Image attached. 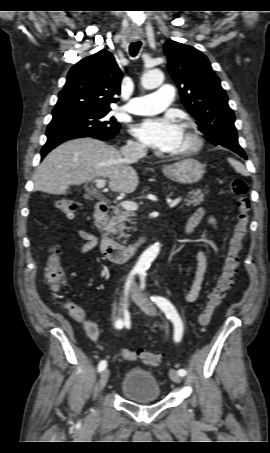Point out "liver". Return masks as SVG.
<instances>
[{
  "label": "liver",
  "instance_id": "6515ba94",
  "mask_svg": "<svg viewBox=\"0 0 270 453\" xmlns=\"http://www.w3.org/2000/svg\"><path fill=\"white\" fill-rule=\"evenodd\" d=\"M131 163L100 140H70L52 150L38 166L33 176L34 191L65 195L70 185L108 178L113 192L130 194L139 184Z\"/></svg>",
  "mask_w": 270,
  "mask_h": 453
}]
</instances>
